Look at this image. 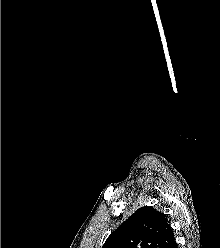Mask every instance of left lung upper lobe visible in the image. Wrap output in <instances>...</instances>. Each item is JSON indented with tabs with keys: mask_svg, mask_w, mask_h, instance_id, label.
Segmentation results:
<instances>
[{
	"mask_svg": "<svg viewBox=\"0 0 220 248\" xmlns=\"http://www.w3.org/2000/svg\"><path fill=\"white\" fill-rule=\"evenodd\" d=\"M173 240L166 216L145 206L113 231L102 248H168Z\"/></svg>",
	"mask_w": 220,
	"mask_h": 248,
	"instance_id": "obj_1",
	"label": "left lung upper lobe"
}]
</instances>
